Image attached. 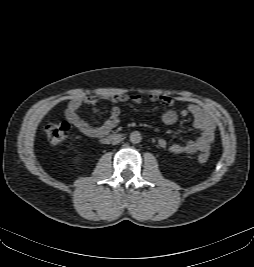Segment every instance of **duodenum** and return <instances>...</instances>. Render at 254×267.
Wrapping results in <instances>:
<instances>
[{
    "mask_svg": "<svg viewBox=\"0 0 254 267\" xmlns=\"http://www.w3.org/2000/svg\"><path fill=\"white\" fill-rule=\"evenodd\" d=\"M113 137H114L113 135H109V136L105 137L104 140H110V139H112Z\"/></svg>",
    "mask_w": 254,
    "mask_h": 267,
    "instance_id": "1",
    "label": "duodenum"
}]
</instances>
